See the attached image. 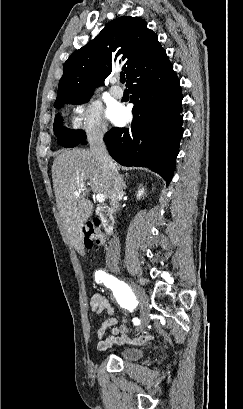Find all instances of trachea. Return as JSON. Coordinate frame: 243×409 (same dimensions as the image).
Instances as JSON below:
<instances>
[{"instance_id":"obj_1","label":"trachea","mask_w":243,"mask_h":409,"mask_svg":"<svg viewBox=\"0 0 243 409\" xmlns=\"http://www.w3.org/2000/svg\"><path fill=\"white\" fill-rule=\"evenodd\" d=\"M125 81H126L125 76H124V75H121V76H120V82H121L122 84H124Z\"/></svg>"}]
</instances>
